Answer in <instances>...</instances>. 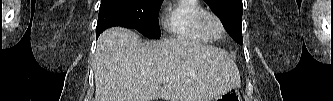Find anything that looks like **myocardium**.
I'll return each mask as SVG.
<instances>
[{"label":"myocardium","mask_w":333,"mask_h":101,"mask_svg":"<svg viewBox=\"0 0 333 101\" xmlns=\"http://www.w3.org/2000/svg\"><path fill=\"white\" fill-rule=\"evenodd\" d=\"M210 18L214 19L218 23L219 28H220L219 35L213 34L212 31L210 30L209 25H208V21ZM199 24L201 26V29L204 31V33L212 40H219L226 35V28H225L223 20L217 13H215L213 11L204 10L199 17Z\"/></svg>","instance_id":"f54148a6"}]
</instances>
